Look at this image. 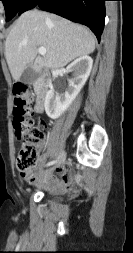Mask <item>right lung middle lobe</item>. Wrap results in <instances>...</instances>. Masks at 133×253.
Wrapping results in <instances>:
<instances>
[{
  "instance_id": "right-lung-middle-lobe-1",
  "label": "right lung middle lobe",
  "mask_w": 133,
  "mask_h": 253,
  "mask_svg": "<svg viewBox=\"0 0 133 253\" xmlns=\"http://www.w3.org/2000/svg\"><path fill=\"white\" fill-rule=\"evenodd\" d=\"M3 2L6 20H11L16 14H18L25 0H0Z\"/></svg>"
}]
</instances>
